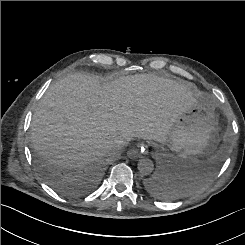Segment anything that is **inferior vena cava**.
Wrapping results in <instances>:
<instances>
[{"mask_svg":"<svg viewBox=\"0 0 245 245\" xmlns=\"http://www.w3.org/2000/svg\"><path fill=\"white\" fill-rule=\"evenodd\" d=\"M128 142H129L128 139L117 140L115 143L109 145L108 148L113 153H119L124 149V147L128 144Z\"/></svg>","mask_w":245,"mask_h":245,"instance_id":"1","label":"inferior vena cava"}]
</instances>
